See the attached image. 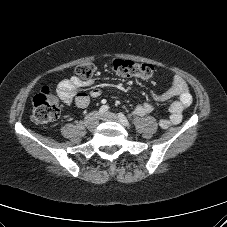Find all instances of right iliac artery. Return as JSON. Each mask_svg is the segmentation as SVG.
I'll return each instance as SVG.
<instances>
[{"instance_id": "82829eb1", "label": "right iliac artery", "mask_w": 227, "mask_h": 227, "mask_svg": "<svg viewBox=\"0 0 227 227\" xmlns=\"http://www.w3.org/2000/svg\"><path fill=\"white\" fill-rule=\"evenodd\" d=\"M108 109H109L108 105H103V106L100 107L99 112L101 114H103V113H106L108 111Z\"/></svg>"}]
</instances>
